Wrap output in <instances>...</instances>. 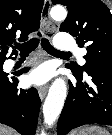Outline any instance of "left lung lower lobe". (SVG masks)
Listing matches in <instances>:
<instances>
[{
	"instance_id": "1",
	"label": "left lung lower lobe",
	"mask_w": 112,
	"mask_h": 135,
	"mask_svg": "<svg viewBox=\"0 0 112 135\" xmlns=\"http://www.w3.org/2000/svg\"><path fill=\"white\" fill-rule=\"evenodd\" d=\"M77 84L69 82V93L57 125V135L85 124L112 125V68H92L90 84L70 66Z\"/></svg>"
}]
</instances>
